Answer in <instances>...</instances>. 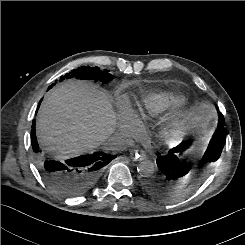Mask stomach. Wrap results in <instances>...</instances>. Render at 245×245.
<instances>
[{"label":"stomach","mask_w":245,"mask_h":245,"mask_svg":"<svg viewBox=\"0 0 245 245\" xmlns=\"http://www.w3.org/2000/svg\"><path fill=\"white\" fill-rule=\"evenodd\" d=\"M192 127L198 129V132L205 138L212 131V114L210 109L204 110L192 120Z\"/></svg>","instance_id":"0dacf381"}]
</instances>
